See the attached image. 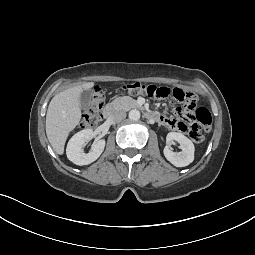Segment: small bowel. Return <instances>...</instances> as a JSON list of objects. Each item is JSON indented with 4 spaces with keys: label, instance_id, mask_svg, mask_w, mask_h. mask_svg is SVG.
<instances>
[{
    "label": "small bowel",
    "instance_id": "small-bowel-1",
    "mask_svg": "<svg viewBox=\"0 0 255 255\" xmlns=\"http://www.w3.org/2000/svg\"><path fill=\"white\" fill-rule=\"evenodd\" d=\"M178 115L181 116L178 119L171 118L168 116H159L158 120L160 121L162 125H164L165 127L169 129L182 132V133H187L188 130L193 126L192 122L190 119L185 118L180 113Z\"/></svg>",
    "mask_w": 255,
    "mask_h": 255
}]
</instances>
